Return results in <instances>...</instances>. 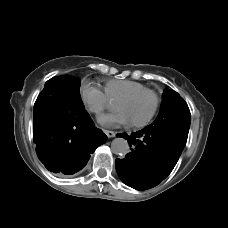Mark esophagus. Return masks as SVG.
Returning <instances> with one entry per match:
<instances>
[{
  "label": "esophagus",
  "mask_w": 228,
  "mask_h": 228,
  "mask_svg": "<svg viewBox=\"0 0 228 228\" xmlns=\"http://www.w3.org/2000/svg\"><path fill=\"white\" fill-rule=\"evenodd\" d=\"M103 131L109 138L115 137L116 135V133L113 131H109V130H103Z\"/></svg>",
  "instance_id": "34e87169"
}]
</instances>
